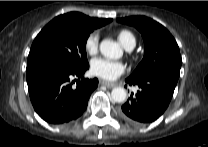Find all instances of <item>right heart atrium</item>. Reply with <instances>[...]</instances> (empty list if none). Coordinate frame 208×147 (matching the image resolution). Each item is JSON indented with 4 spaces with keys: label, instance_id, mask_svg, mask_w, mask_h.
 Listing matches in <instances>:
<instances>
[{
    "label": "right heart atrium",
    "instance_id": "right-heart-atrium-1",
    "mask_svg": "<svg viewBox=\"0 0 208 147\" xmlns=\"http://www.w3.org/2000/svg\"><path fill=\"white\" fill-rule=\"evenodd\" d=\"M99 48V35L94 32L91 33L85 41V50L88 54L94 55L97 53Z\"/></svg>",
    "mask_w": 208,
    "mask_h": 147
}]
</instances>
